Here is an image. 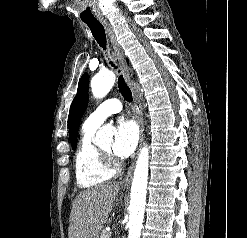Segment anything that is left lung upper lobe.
I'll use <instances>...</instances> for the list:
<instances>
[{"mask_svg":"<svg viewBox=\"0 0 247 238\" xmlns=\"http://www.w3.org/2000/svg\"><path fill=\"white\" fill-rule=\"evenodd\" d=\"M88 83L89 77L87 74H84L79 81L77 95L70 107L68 127L69 138L73 149H75L77 145L79 121L88 105Z\"/></svg>","mask_w":247,"mask_h":238,"instance_id":"5c2ea615","label":"left lung upper lobe"}]
</instances>
